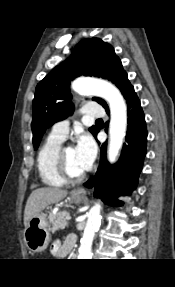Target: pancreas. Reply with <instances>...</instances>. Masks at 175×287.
Wrapping results in <instances>:
<instances>
[{"label":"pancreas","instance_id":"1","mask_svg":"<svg viewBox=\"0 0 175 287\" xmlns=\"http://www.w3.org/2000/svg\"><path fill=\"white\" fill-rule=\"evenodd\" d=\"M67 215L68 213L62 210L51 216L50 223L52 224V232L63 230L68 226V221L66 220Z\"/></svg>","mask_w":175,"mask_h":287}]
</instances>
